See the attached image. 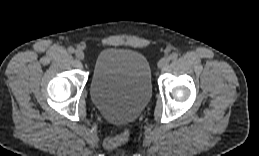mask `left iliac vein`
<instances>
[{
  "instance_id": "4c4485c4",
  "label": "left iliac vein",
  "mask_w": 259,
  "mask_h": 156,
  "mask_svg": "<svg viewBox=\"0 0 259 156\" xmlns=\"http://www.w3.org/2000/svg\"><path fill=\"white\" fill-rule=\"evenodd\" d=\"M170 59L168 57H163L158 62V68L163 69L169 64Z\"/></svg>"
}]
</instances>
